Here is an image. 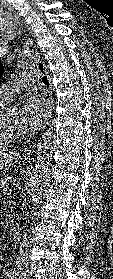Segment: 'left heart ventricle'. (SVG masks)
<instances>
[{"mask_svg": "<svg viewBox=\"0 0 113 279\" xmlns=\"http://www.w3.org/2000/svg\"><path fill=\"white\" fill-rule=\"evenodd\" d=\"M4 123L10 130L22 132L23 128L21 124V110L18 107L12 108L7 114Z\"/></svg>", "mask_w": 113, "mask_h": 279, "instance_id": "b2bd125f", "label": "left heart ventricle"}]
</instances>
